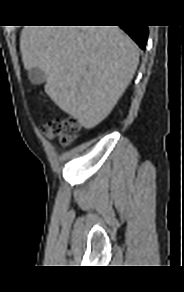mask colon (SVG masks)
Listing matches in <instances>:
<instances>
[{"mask_svg": "<svg viewBox=\"0 0 184 292\" xmlns=\"http://www.w3.org/2000/svg\"><path fill=\"white\" fill-rule=\"evenodd\" d=\"M79 129V122L73 117H67L49 121L41 128V131L46 137L59 138L63 145H69Z\"/></svg>", "mask_w": 184, "mask_h": 292, "instance_id": "5ec220e1", "label": "colon"}]
</instances>
